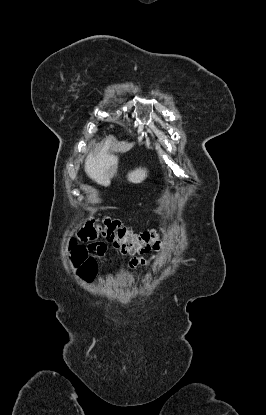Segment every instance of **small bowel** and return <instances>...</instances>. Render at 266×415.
<instances>
[{"mask_svg": "<svg viewBox=\"0 0 266 415\" xmlns=\"http://www.w3.org/2000/svg\"><path fill=\"white\" fill-rule=\"evenodd\" d=\"M87 248L94 256H97L100 258H105L108 252V247L103 242L90 243L87 246ZM156 257H157L156 255H151L148 257H135L129 261V267L131 269H136L138 267H146L152 264L155 261Z\"/></svg>", "mask_w": 266, "mask_h": 415, "instance_id": "obj_1", "label": "small bowel"}]
</instances>
